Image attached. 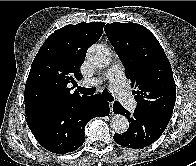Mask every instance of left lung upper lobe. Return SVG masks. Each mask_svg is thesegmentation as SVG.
<instances>
[{
    "instance_id": "left-lung-upper-lobe-1",
    "label": "left lung upper lobe",
    "mask_w": 196,
    "mask_h": 166,
    "mask_svg": "<svg viewBox=\"0 0 196 166\" xmlns=\"http://www.w3.org/2000/svg\"><path fill=\"white\" fill-rule=\"evenodd\" d=\"M105 31L125 66L134 90L136 109L170 120L176 86L170 62L156 37L137 23L106 24Z\"/></svg>"
}]
</instances>
